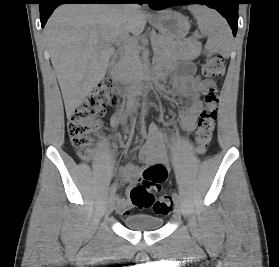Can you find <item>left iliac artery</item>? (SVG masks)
I'll return each mask as SVG.
<instances>
[{
    "label": "left iliac artery",
    "mask_w": 279,
    "mask_h": 267,
    "mask_svg": "<svg viewBox=\"0 0 279 267\" xmlns=\"http://www.w3.org/2000/svg\"><path fill=\"white\" fill-rule=\"evenodd\" d=\"M173 199H174L175 202H177V201H179V196L176 193H174V198Z\"/></svg>",
    "instance_id": "left-iliac-artery-1"
}]
</instances>
